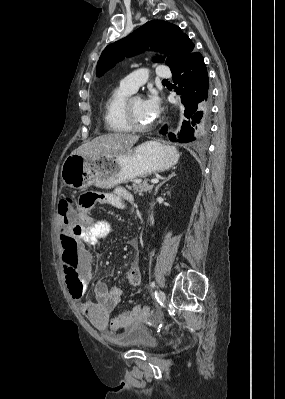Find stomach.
<instances>
[{"label": "stomach", "mask_w": 285, "mask_h": 399, "mask_svg": "<svg viewBox=\"0 0 285 399\" xmlns=\"http://www.w3.org/2000/svg\"><path fill=\"white\" fill-rule=\"evenodd\" d=\"M178 153L155 141L146 142L117 157L95 159L78 154L69 155L61 167L65 186L84 189L91 185L110 188L153 172L170 169L178 161Z\"/></svg>", "instance_id": "0dacf381"}]
</instances>
